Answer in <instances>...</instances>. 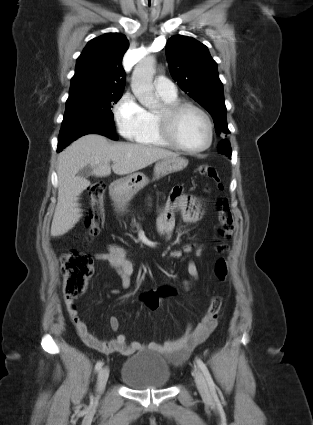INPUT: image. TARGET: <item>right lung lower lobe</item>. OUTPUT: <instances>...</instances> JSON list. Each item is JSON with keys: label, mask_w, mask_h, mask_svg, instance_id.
<instances>
[{"label": "right lung lower lobe", "mask_w": 313, "mask_h": 425, "mask_svg": "<svg viewBox=\"0 0 313 425\" xmlns=\"http://www.w3.org/2000/svg\"><path fill=\"white\" fill-rule=\"evenodd\" d=\"M87 134H100L117 140L113 119H106L99 114L72 111L68 116H64L57 152Z\"/></svg>", "instance_id": "right-lung-lower-lobe-1"}]
</instances>
